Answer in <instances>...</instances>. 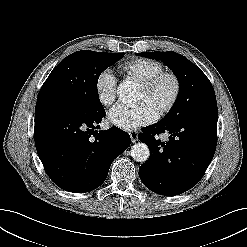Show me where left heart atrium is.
I'll list each match as a JSON object with an SVG mask.
<instances>
[{
  "label": "left heart atrium",
  "instance_id": "1",
  "mask_svg": "<svg viewBox=\"0 0 247 247\" xmlns=\"http://www.w3.org/2000/svg\"><path fill=\"white\" fill-rule=\"evenodd\" d=\"M157 117L158 110L146 99L133 106L118 104L108 114L109 122L123 130L148 125Z\"/></svg>",
  "mask_w": 247,
  "mask_h": 247
}]
</instances>
